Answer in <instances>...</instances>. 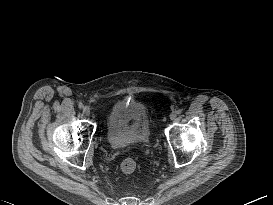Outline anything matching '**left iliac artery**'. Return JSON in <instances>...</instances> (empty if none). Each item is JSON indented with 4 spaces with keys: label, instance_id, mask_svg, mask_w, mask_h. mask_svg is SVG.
Returning <instances> with one entry per match:
<instances>
[{
    "label": "left iliac artery",
    "instance_id": "obj_1",
    "mask_svg": "<svg viewBox=\"0 0 273 205\" xmlns=\"http://www.w3.org/2000/svg\"><path fill=\"white\" fill-rule=\"evenodd\" d=\"M181 113H182V109H178L177 114H181Z\"/></svg>",
    "mask_w": 273,
    "mask_h": 205
}]
</instances>
